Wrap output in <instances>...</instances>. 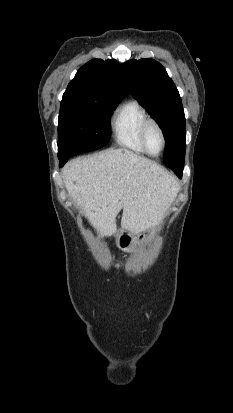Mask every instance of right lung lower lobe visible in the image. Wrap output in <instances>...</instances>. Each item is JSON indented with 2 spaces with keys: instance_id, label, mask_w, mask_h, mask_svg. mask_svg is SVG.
<instances>
[{
  "instance_id": "right-lung-lower-lobe-1",
  "label": "right lung lower lobe",
  "mask_w": 233,
  "mask_h": 413,
  "mask_svg": "<svg viewBox=\"0 0 233 413\" xmlns=\"http://www.w3.org/2000/svg\"><path fill=\"white\" fill-rule=\"evenodd\" d=\"M59 159H60V166H63L67 162L69 157H59Z\"/></svg>"
}]
</instances>
